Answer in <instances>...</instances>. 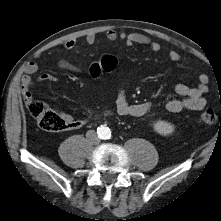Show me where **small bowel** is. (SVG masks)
<instances>
[{
	"mask_svg": "<svg viewBox=\"0 0 221 221\" xmlns=\"http://www.w3.org/2000/svg\"><path fill=\"white\" fill-rule=\"evenodd\" d=\"M105 37L109 41H116L118 39L123 40L127 45H146L151 51L158 53L162 51V47L159 43L152 41L148 36L140 33H130V34H119L113 29H109L105 32ZM97 37L94 33H89L85 37L87 44L92 45L96 42ZM76 40L69 39L65 42L64 48L66 50H71L75 47ZM168 58L173 62H180L181 56L178 52L171 50L168 52ZM58 66L66 71L72 73H88L90 74V66L84 69L66 59H59L57 62ZM38 71V65L35 62H28L24 66V75L22 76V95L26 103L32 99V94L30 91L31 86L34 84L32 75ZM91 75V74H90ZM58 78L50 73L40 74L36 82H57ZM208 76L206 74H200L198 76V85L190 86L184 83H180L176 86L175 92L182 98H176L170 100L166 108L169 112L178 113L183 110L200 111L206 106V99L203 95L207 91ZM116 110L119 115L131 116V117H141L145 115L151 109L150 102L141 103H130L127 99L126 91L124 88H120L116 96ZM63 117L68 122V128H77L82 125L81 121L73 119L69 114L64 113Z\"/></svg>",
	"mask_w": 221,
	"mask_h": 221,
	"instance_id": "small-bowel-1",
	"label": "small bowel"
}]
</instances>
